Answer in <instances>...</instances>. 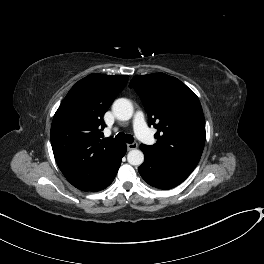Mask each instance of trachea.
<instances>
[{
	"label": "trachea",
	"mask_w": 264,
	"mask_h": 264,
	"mask_svg": "<svg viewBox=\"0 0 264 264\" xmlns=\"http://www.w3.org/2000/svg\"><path fill=\"white\" fill-rule=\"evenodd\" d=\"M115 139L118 141H124L127 143H133V141H134V138L132 135H127V134H124L121 132L115 136Z\"/></svg>",
	"instance_id": "obj_1"
}]
</instances>
